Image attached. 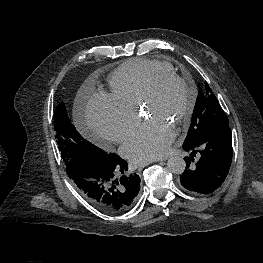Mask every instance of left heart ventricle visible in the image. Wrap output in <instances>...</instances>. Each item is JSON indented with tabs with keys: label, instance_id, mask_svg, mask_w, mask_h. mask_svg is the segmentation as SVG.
<instances>
[{
	"label": "left heart ventricle",
	"instance_id": "b2bd125f",
	"mask_svg": "<svg viewBox=\"0 0 263 263\" xmlns=\"http://www.w3.org/2000/svg\"><path fill=\"white\" fill-rule=\"evenodd\" d=\"M188 102L186 90L177 82L166 83L159 94L144 108V114L149 118H160L171 126L184 111Z\"/></svg>",
	"mask_w": 263,
	"mask_h": 263
}]
</instances>
